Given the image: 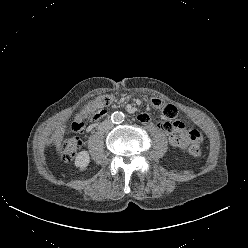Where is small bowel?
Masks as SVG:
<instances>
[{"instance_id":"1","label":"small bowel","mask_w":248,"mask_h":248,"mask_svg":"<svg viewBox=\"0 0 248 248\" xmlns=\"http://www.w3.org/2000/svg\"><path fill=\"white\" fill-rule=\"evenodd\" d=\"M151 106L154 109H160L162 116L157 119V127L168 133L169 142L173 147L179 149H185L192 142L191 132L187 131L182 121H175L178 118V107L173 103L164 101L161 96H155L151 101ZM109 112V107H104L100 110L95 120L100 119L105 113ZM139 120L142 123H147L150 120V116L147 113L139 115ZM175 121L174 123H170Z\"/></svg>"}]
</instances>
